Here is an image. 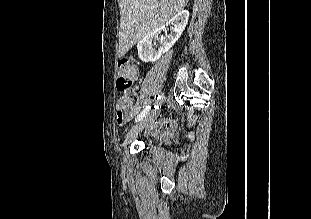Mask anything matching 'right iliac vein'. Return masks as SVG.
Here are the masks:
<instances>
[{
  "mask_svg": "<svg viewBox=\"0 0 311 219\" xmlns=\"http://www.w3.org/2000/svg\"><path fill=\"white\" fill-rule=\"evenodd\" d=\"M163 102V98H161L160 100H158L156 102V104L158 106L162 105ZM158 106H156L155 108H158ZM157 112L156 110H152L150 113H148L138 124H136L135 126H133L131 128V130L127 133L123 146L124 149L126 150L127 146L129 143L132 142V140L146 127L148 126V124L154 119V117L156 116Z\"/></svg>",
  "mask_w": 311,
  "mask_h": 219,
  "instance_id": "right-iliac-vein-1",
  "label": "right iliac vein"
}]
</instances>
